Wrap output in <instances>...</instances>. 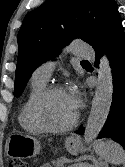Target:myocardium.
Segmentation results:
<instances>
[{
    "instance_id": "f54148a6",
    "label": "myocardium",
    "mask_w": 125,
    "mask_h": 167,
    "mask_svg": "<svg viewBox=\"0 0 125 167\" xmlns=\"http://www.w3.org/2000/svg\"><path fill=\"white\" fill-rule=\"evenodd\" d=\"M61 91H65V88L61 85H51V86L46 87L36 98L32 106V109H31L32 120L35 123V125L43 132H47V133L66 132L72 129L78 122L79 113L77 110L72 120L68 122L67 124L60 126V127L49 126L42 119L41 111H42L45 101L54 93L61 92Z\"/></svg>"
}]
</instances>
